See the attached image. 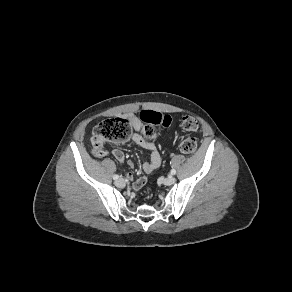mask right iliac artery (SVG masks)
Masks as SVG:
<instances>
[{
  "label": "right iliac artery",
  "instance_id": "1",
  "mask_svg": "<svg viewBox=\"0 0 292 292\" xmlns=\"http://www.w3.org/2000/svg\"><path fill=\"white\" fill-rule=\"evenodd\" d=\"M118 178H119L118 175H114V176H113V179H114V180H117Z\"/></svg>",
  "mask_w": 292,
  "mask_h": 292
}]
</instances>
